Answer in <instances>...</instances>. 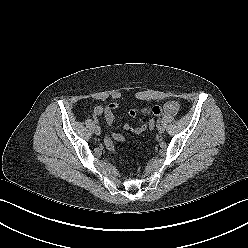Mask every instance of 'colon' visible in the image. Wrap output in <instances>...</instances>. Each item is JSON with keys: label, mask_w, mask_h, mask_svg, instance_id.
Segmentation results:
<instances>
[{"label": "colon", "mask_w": 248, "mask_h": 248, "mask_svg": "<svg viewBox=\"0 0 248 248\" xmlns=\"http://www.w3.org/2000/svg\"><path fill=\"white\" fill-rule=\"evenodd\" d=\"M147 127L150 130H153L155 128V120L154 119H149L147 121ZM123 142L124 141V137L121 134L115 133L112 135L111 138H108L106 140V147L109 151L114 152V142Z\"/></svg>", "instance_id": "colon-1"}]
</instances>
